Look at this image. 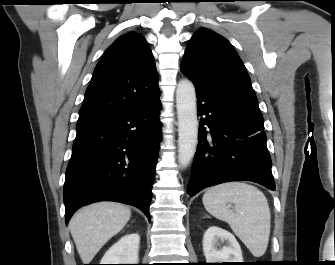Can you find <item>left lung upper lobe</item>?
Returning a JSON list of instances; mask_svg holds the SVG:
<instances>
[{
    "mask_svg": "<svg viewBox=\"0 0 335 265\" xmlns=\"http://www.w3.org/2000/svg\"><path fill=\"white\" fill-rule=\"evenodd\" d=\"M181 71L196 89L262 116L242 60L220 34L199 29L190 40Z\"/></svg>",
    "mask_w": 335,
    "mask_h": 265,
    "instance_id": "left-lung-upper-lobe-1",
    "label": "left lung upper lobe"
}]
</instances>
